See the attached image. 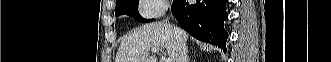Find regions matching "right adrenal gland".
<instances>
[{
	"mask_svg": "<svg viewBox=\"0 0 331 62\" xmlns=\"http://www.w3.org/2000/svg\"><path fill=\"white\" fill-rule=\"evenodd\" d=\"M187 62H190V58H189V56L187 57Z\"/></svg>",
	"mask_w": 331,
	"mask_h": 62,
	"instance_id": "2a0ac1e0",
	"label": "right adrenal gland"
}]
</instances>
